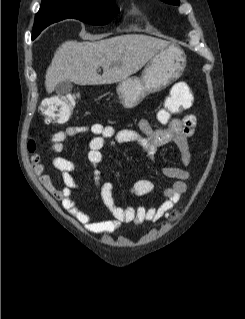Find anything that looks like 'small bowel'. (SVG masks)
<instances>
[{"instance_id": "1", "label": "small bowel", "mask_w": 245, "mask_h": 319, "mask_svg": "<svg viewBox=\"0 0 245 319\" xmlns=\"http://www.w3.org/2000/svg\"><path fill=\"white\" fill-rule=\"evenodd\" d=\"M177 91L185 92L186 104L191 106L193 96L187 84L182 81L175 83L172 92ZM195 127V116L187 114L182 118L169 120L167 127L164 129L153 128L150 122L143 118L139 120L137 130L130 128L116 129L110 125L93 124L90 126H70L52 134L49 151L54 154L62 152L68 138L85 132L94 135L88 145L87 159L94 170V179L99 187L102 201L111 216L110 219H98L78 207L72 195L73 191L78 188L73 176V173L77 171V165L73 161L61 156L52 158L53 166L61 172L64 184L62 188L56 187L51 177L44 173V164L41 162L39 155L32 158L33 171L44 188L55 199L59 200L63 207L78 221L82 222L90 232L108 234L117 230L123 223H155L181 200L182 195L187 191L189 173L180 167L165 166L160 169V173L172 182L162 189L164 199L158 205L151 207L143 205L120 206L115 202L113 196V183H101L99 180L97 167L102 160L101 149L107 142L110 144L136 143L146 152L148 159L154 161L160 147L173 144L179 150L182 163L188 166L192 159L189 139L193 136ZM155 190L156 185L149 179L136 180L129 186V191L135 196H144Z\"/></svg>"}]
</instances>
